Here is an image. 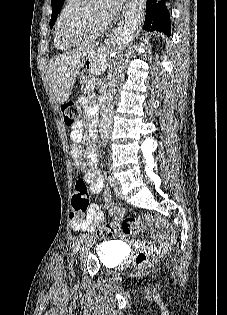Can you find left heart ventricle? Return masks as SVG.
Returning a JSON list of instances; mask_svg holds the SVG:
<instances>
[{"label":"left heart ventricle","instance_id":"left-heart-ventricle-1","mask_svg":"<svg viewBox=\"0 0 227 315\" xmlns=\"http://www.w3.org/2000/svg\"><path fill=\"white\" fill-rule=\"evenodd\" d=\"M105 21L99 8V0H90L79 22L72 27L73 32L79 29L96 30L103 26Z\"/></svg>","mask_w":227,"mask_h":315}]
</instances>
